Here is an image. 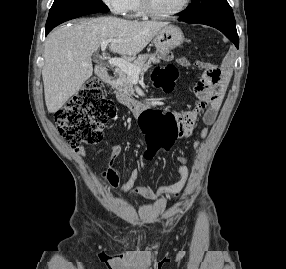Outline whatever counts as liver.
I'll list each match as a JSON object with an SVG mask.
<instances>
[{"label":"liver","instance_id":"6515ba94","mask_svg":"<svg viewBox=\"0 0 286 269\" xmlns=\"http://www.w3.org/2000/svg\"><path fill=\"white\" fill-rule=\"evenodd\" d=\"M168 22L115 17L80 19L51 32L45 42L42 78L48 112H57L93 72L91 56L101 42L130 62Z\"/></svg>","mask_w":286,"mask_h":269}]
</instances>
